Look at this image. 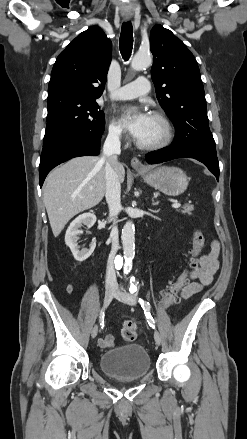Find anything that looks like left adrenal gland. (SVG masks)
Instances as JSON below:
<instances>
[{
  "label": "left adrenal gland",
  "mask_w": 247,
  "mask_h": 439,
  "mask_svg": "<svg viewBox=\"0 0 247 439\" xmlns=\"http://www.w3.org/2000/svg\"><path fill=\"white\" fill-rule=\"evenodd\" d=\"M158 203H159V202H154V201H153V203H152V204H153V205H158Z\"/></svg>",
  "instance_id": "obj_1"
}]
</instances>
